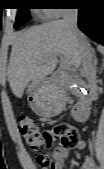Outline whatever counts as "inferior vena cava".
Instances as JSON below:
<instances>
[{
  "mask_svg": "<svg viewBox=\"0 0 104 169\" xmlns=\"http://www.w3.org/2000/svg\"><path fill=\"white\" fill-rule=\"evenodd\" d=\"M78 10L65 9L63 21L68 27L70 33L79 42L80 59H81V74L86 77L89 87L90 96L92 100L98 99V86L96 80V71L94 68L93 53L90 44L82 38L81 33L77 27Z\"/></svg>",
  "mask_w": 104,
  "mask_h": 169,
  "instance_id": "inferior-vena-cava-1",
  "label": "inferior vena cava"
}]
</instances>
